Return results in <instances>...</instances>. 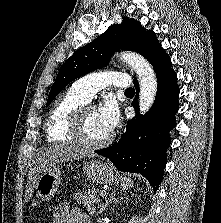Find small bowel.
I'll list each match as a JSON object with an SVG mask.
<instances>
[{"mask_svg": "<svg viewBox=\"0 0 221 223\" xmlns=\"http://www.w3.org/2000/svg\"><path fill=\"white\" fill-rule=\"evenodd\" d=\"M54 223H90V221L80 210L71 208L67 203H61L55 210Z\"/></svg>", "mask_w": 221, "mask_h": 223, "instance_id": "c3829d8e", "label": "small bowel"}]
</instances>
